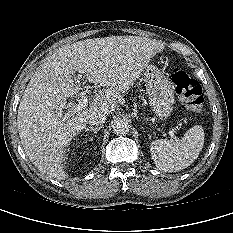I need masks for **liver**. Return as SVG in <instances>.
<instances>
[{
  "instance_id": "1",
  "label": "liver",
  "mask_w": 233,
  "mask_h": 233,
  "mask_svg": "<svg viewBox=\"0 0 233 233\" xmlns=\"http://www.w3.org/2000/svg\"><path fill=\"white\" fill-rule=\"evenodd\" d=\"M162 49L156 40L110 36L78 41L53 53L32 76L18 108L21 144L35 167L50 178L64 180L66 147L86 128L87 116L93 111H114ZM75 72L104 89L89 107L64 113L66 100L80 90L72 78Z\"/></svg>"
}]
</instances>
